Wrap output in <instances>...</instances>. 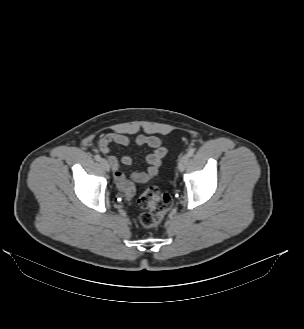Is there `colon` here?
<instances>
[{
  "mask_svg": "<svg viewBox=\"0 0 304 329\" xmlns=\"http://www.w3.org/2000/svg\"><path fill=\"white\" fill-rule=\"evenodd\" d=\"M140 205L147 210L139 217L144 227H156L172 205V198L167 193L160 192L156 187L149 188L140 200Z\"/></svg>",
  "mask_w": 304,
  "mask_h": 329,
  "instance_id": "colon-1",
  "label": "colon"
}]
</instances>
